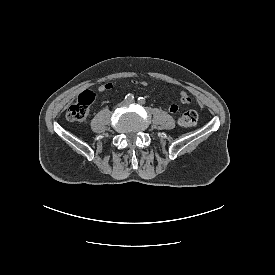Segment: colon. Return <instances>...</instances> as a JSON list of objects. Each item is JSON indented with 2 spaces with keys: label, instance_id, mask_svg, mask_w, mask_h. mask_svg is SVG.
<instances>
[{
  "label": "colon",
  "instance_id": "colon-1",
  "mask_svg": "<svg viewBox=\"0 0 275 275\" xmlns=\"http://www.w3.org/2000/svg\"><path fill=\"white\" fill-rule=\"evenodd\" d=\"M94 100V93L91 90L82 92L77 101L70 105L66 111V117L69 121L82 123L88 114L89 106ZM197 113L189 110L181 114L178 118V124L184 128L194 127L197 123Z\"/></svg>",
  "mask_w": 275,
  "mask_h": 275
}]
</instances>
